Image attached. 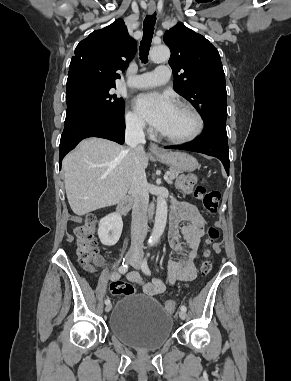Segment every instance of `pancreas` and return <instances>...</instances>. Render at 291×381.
<instances>
[{
  "label": "pancreas",
  "mask_w": 291,
  "mask_h": 381,
  "mask_svg": "<svg viewBox=\"0 0 291 381\" xmlns=\"http://www.w3.org/2000/svg\"><path fill=\"white\" fill-rule=\"evenodd\" d=\"M180 171L176 169H170L168 174V179L166 180L168 184H172L173 180L178 177Z\"/></svg>",
  "instance_id": "obj_1"
}]
</instances>
